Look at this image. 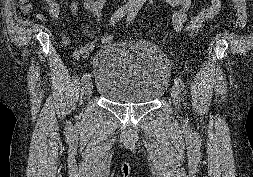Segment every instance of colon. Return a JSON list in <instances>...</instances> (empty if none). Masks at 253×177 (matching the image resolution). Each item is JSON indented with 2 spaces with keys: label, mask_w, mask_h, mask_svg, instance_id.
<instances>
[{
  "label": "colon",
  "mask_w": 253,
  "mask_h": 177,
  "mask_svg": "<svg viewBox=\"0 0 253 177\" xmlns=\"http://www.w3.org/2000/svg\"><path fill=\"white\" fill-rule=\"evenodd\" d=\"M233 4V18L232 26L235 29H243L247 22V3L246 0H232ZM114 33L110 29H106L101 37V42L104 45L113 43Z\"/></svg>",
  "instance_id": "obj_1"
}]
</instances>
